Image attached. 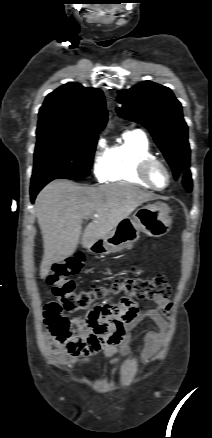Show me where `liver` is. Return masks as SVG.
Listing matches in <instances>:
<instances>
[{"mask_svg":"<svg viewBox=\"0 0 212 438\" xmlns=\"http://www.w3.org/2000/svg\"><path fill=\"white\" fill-rule=\"evenodd\" d=\"M158 198L152 192L124 183L99 187L78 186L68 180L49 183L35 201L44 248L41 278L48 275L53 263L74 253L86 217L93 220L85 228L81 244L84 248H91L137 207Z\"/></svg>","mask_w":212,"mask_h":438,"instance_id":"obj_1","label":"liver"}]
</instances>
